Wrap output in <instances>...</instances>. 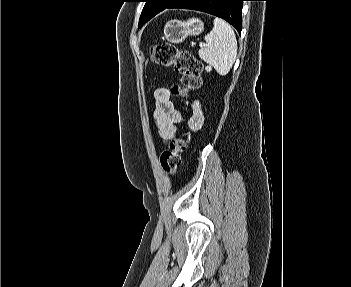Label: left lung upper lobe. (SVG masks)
Here are the masks:
<instances>
[{"label": "left lung upper lobe", "mask_w": 351, "mask_h": 287, "mask_svg": "<svg viewBox=\"0 0 351 287\" xmlns=\"http://www.w3.org/2000/svg\"><path fill=\"white\" fill-rule=\"evenodd\" d=\"M143 1L145 2V6L141 13V17L139 20V27L143 26V24L149 21L156 14L166 9L175 0H143Z\"/></svg>", "instance_id": "5c2ea615"}]
</instances>
